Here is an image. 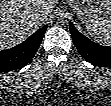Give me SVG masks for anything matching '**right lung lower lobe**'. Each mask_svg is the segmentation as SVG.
<instances>
[{
  "label": "right lung lower lobe",
  "mask_w": 111,
  "mask_h": 106,
  "mask_svg": "<svg viewBox=\"0 0 111 106\" xmlns=\"http://www.w3.org/2000/svg\"><path fill=\"white\" fill-rule=\"evenodd\" d=\"M47 27L45 25L21 44L0 51V72L16 70L28 64L39 48Z\"/></svg>",
  "instance_id": "1"
}]
</instances>
